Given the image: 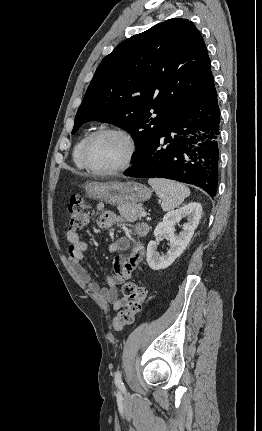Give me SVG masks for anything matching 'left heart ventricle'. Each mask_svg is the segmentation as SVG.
Segmentation results:
<instances>
[{"label":"left heart ventricle","mask_w":262,"mask_h":431,"mask_svg":"<svg viewBox=\"0 0 262 431\" xmlns=\"http://www.w3.org/2000/svg\"><path fill=\"white\" fill-rule=\"evenodd\" d=\"M127 152L128 145L121 136L102 134L90 144L88 161L96 169H112L123 163Z\"/></svg>","instance_id":"1"}]
</instances>
